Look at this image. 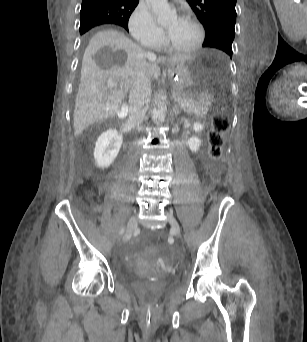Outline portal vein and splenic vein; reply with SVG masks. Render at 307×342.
Instances as JSON below:
<instances>
[{
	"label": "portal vein and splenic vein",
	"instance_id": "obj_1",
	"mask_svg": "<svg viewBox=\"0 0 307 342\" xmlns=\"http://www.w3.org/2000/svg\"><path fill=\"white\" fill-rule=\"evenodd\" d=\"M107 86H108V88H116V86H118V84H117V82H108ZM122 86H123V84H120V88H122ZM181 107L183 109L184 108L185 109H189L190 108L189 104H185V105L183 104Z\"/></svg>",
	"mask_w": 307,
	"mask_h": 342
}]
</instances>
